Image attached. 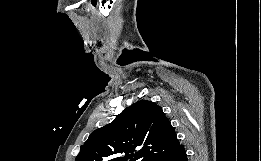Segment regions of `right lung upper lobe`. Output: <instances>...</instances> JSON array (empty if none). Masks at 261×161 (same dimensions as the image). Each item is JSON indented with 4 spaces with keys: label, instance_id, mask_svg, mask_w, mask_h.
Segmentation results:
<instances>
[{
    "label": "right lung upper lobe",
    "instance_id": "right-lung-upper-lobe-1",
    "mask_svg": "<svg viewBox=\"0 0 261 161\" xmlns=\"http://www.w3.org/2000/svg\"><path fill=\"white\" fill-rule=\"evenodd\" d=\"M179 145L162 109L140 100L124 109L114 121L93 131L75 161H148ZM136 147L135 158L130 157ZM125 156H121L122 154Z\"/></svg>",
    "mask_w": 261,
    "mask_h": 161
}]
</instances>
